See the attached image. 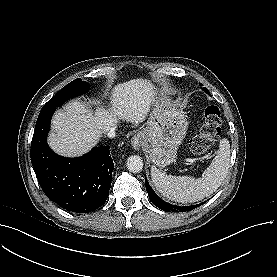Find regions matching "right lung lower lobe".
Masks as SVG:
<instances>
[{"label":"right lung lower lobe","mask_w":277,"mask_h":277,"mask_svg":"<svg viewBox=\"0 0 277 277\" xmlns=\"http://www.w3.org/2000/svg\"><path fill=\"white\" fill-rule=\"evenodd\" d=\"M56 108L41 110L31 142V162L46 196L76 213L91 212L107 199L114 163L109 147H95L79 158L54 153L46 137Z\"/></svg>","instance_id":"1"}]
</instances>
